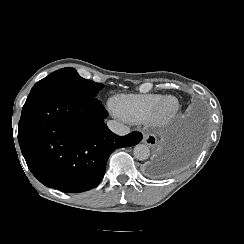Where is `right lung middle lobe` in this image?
<instances>
[{
  "label": "right lung middle lobe",
  "mask_w": 244,
  "mask_h": 244,
  "mask_svg": "<svg viewBox=\"0 0 244 244\" xmlns=\"http://www.w3.org/2000/svg\"><path fill=\"white\" fill-rule=\"evenodd\" d=\"M103 87V84L80 77L74 68L66 67L51 73L37 82L30 93L37 91H61L81 97H96Z\"/></svg>",
  "instance_id": "dd1d6c3e"
}]
</instances>
